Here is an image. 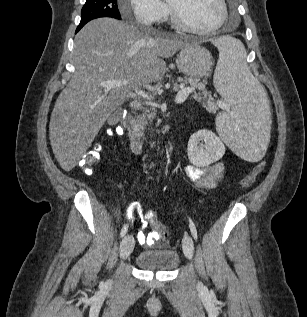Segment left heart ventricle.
<instances>
[{"label":"left heart ventricle","mask_w":307,"mask_h":317,"mask_svg":"<svg viewBox=\"0 0 307 317\" xmlns=\"http://www.w3.org/2000/svg\"><path fill=\"white\" fill-rule=\"evenodd\" d=\"M181 19L197 29H209L220 19L221 8L217 0H168Z\"/></svg>","instance_id":"b2bd125f"}]
</instances>
